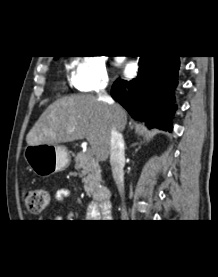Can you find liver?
I'll return each instance as SVG.
<instances>
[{
  "mask_svg": "<svg viewBox=\"0 0 218 277\" xmlns=\"http://www.w3.org/2000/svg\"><path fill=\"white\" fill-rule=\"evenodd\" d=\"M114 111L90 95H72L56 100L44 111L26 136L28 145L59 144L86 138L97 160L110 154L112 127L122 131L127 114L118 104Z\"/></svg>",
  "mask_w": 218,
  "mask_h": 277,
  "instance_id": "obj_1",
  "label": "liver"
}]
</instances>
